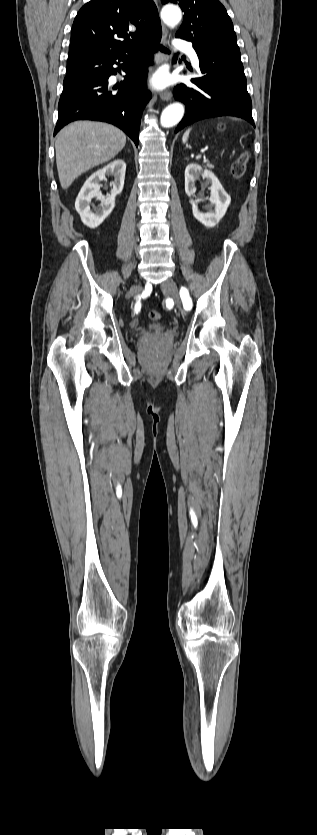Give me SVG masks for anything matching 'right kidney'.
I'll use <instances>...</instances> for the list:
<instances>
[{
	"label": "right kidney",
	"instance_id": "1",
	"mask_svg": "<svg viewBox=\"0 0 317 835\" xmlns=\"http://www.w3.org/2000/svg\"><path fill=\"white\" fill-rule=\"evenodd\" d=\"M125 171L126 163L118 159L97 170L86 180L75 201V209L86 226L96 228L110 215L115 206L116 195L123 190ZM106 176H113L114 181L112 182L111 194L104 197L100 192L99 182L104 180ZM93 198L101 202L94 211L90 209L89 205Z\"/></svg>",
	"mask_w": 317,
	"mask_h": 835
}]
</instances>
